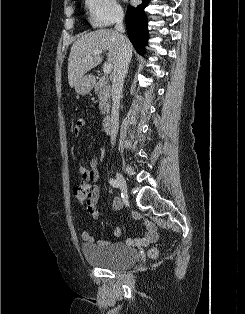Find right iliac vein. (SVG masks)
<instances>
[{
  "label": "right iliac vein",
  "instance_id": "right-iliac-vein-1",
  "mask_svg": "<svg viewBox=\"0 0 245 314\" xmlns=\"http://www.w3.org/2000/svg\"><path fill=\"white\" fill-rule=\"evenodd\" d=\"M116 179L119 184L123 197L127 198V183L124 177L120 173H116Z\"/></svg>",
  "mask_w": 245,
  "mask_h": 314
}]
</instances>
